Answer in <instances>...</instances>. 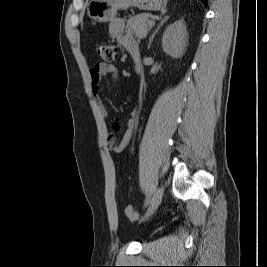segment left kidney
<instances>
[{"label": "left kidney", "mask_w": 267, "mask_h": 267, "mask_svg": "<svg viewBox=\"0 0 267 267\" xmlns=\"http://www.w3.org/2000/svg\"><path fill=\"white\" fill-rule=\"evenodd\" d=\"M187 36L188 33L183 19L170 24L162 36L163 51L173 58H180L187 47Z\"/></svg>", "instance_id": "obj_1"}]
</instances>
